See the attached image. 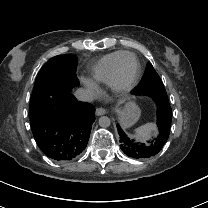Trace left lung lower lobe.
<instances>
[{"label": "left lung lower lobe", "mask_w": 208, "mask_h": 208, "mask_svg": "<svg viewBox=\"0 0 208 208\" xmlns=\"http://www.w3.org/2000/svg\"><path fill=\"white\" fill-rule=\"evenodd\" d=\"M132 94L134 93L132 92ZM153 99L157 105V127L159 130V134L156 138L147 142H136L133 139H130L121 129L120 125L117 124L120 138L119 142L121 143L120 147L130 158L147 159L155 156L161 151L169 137L172 120V110L169 102L157 98Z\"/></svg>", "instance_id": "left-lung-lower-lobe-1"}]
</instances>
